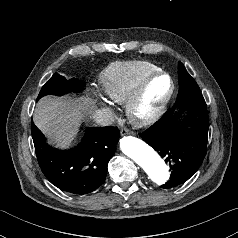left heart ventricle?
<instances>
[{"instance_id":"1","label":"left heart ventricle","mask_w":238,"mask_h":238,"mask_svg":"<svg viewBox=\"0 0 238 238\" xmlns=\"http://www.w3.org/2000/svg\"><path fill=\"white\" fill-rule=\"evenodd\" d=\"M169 90V81L165 77L154 80L148 87L145 96L138 108V114L141 116L154 112Z\"/></svg>"}]
</instances>
